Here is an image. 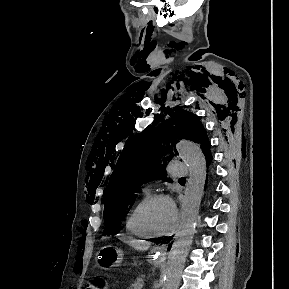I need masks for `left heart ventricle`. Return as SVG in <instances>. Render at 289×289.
Returning <instances> with one entry per match:
<instances>
[{
  "mask_svg": "<svg viewBox=\"0 0 289 289\" xmlns=\"http://www.w3.org/2000/svg\"><path fill=\"white\" fill-rule=\"evenodd\" d=\"M148 222L157 231L167 230L173 223L174 211L171 202L159 200L155 202L148 213Z\"/></svg>",
  "mask_w": 289,
  "mask_h": 289,
  "instance_id": "left-heart-ventricle-1",
  "label": "left heart ventricle"
}]
</instances>
